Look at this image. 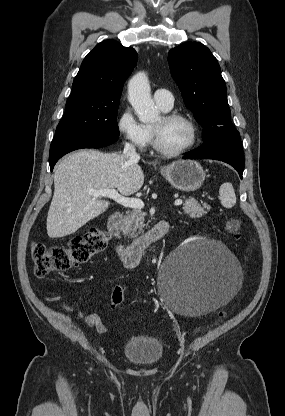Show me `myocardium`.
I'll use <instances>...</instances> for the list:
<instances>
[{
    "instance_id": "f54148a6",
    "label": "myocardium",
    "mask_w": 285,
    "mask_h": 416,
    "mask_svg": "<svg viewBox=\"0 0 285 416\" xmlns=\"http://www.w3.org/2000/svg\"><path fill=\"white\" fill-rule=\"evenodd\" d=\"M162 118L166 121L179 119V120L186 122L190 128V133H191L190 142L188 143L187 146L179 150L165 149L159 144L157 135L154 129L150 128L153 148L159 154L165 157H178V156H182L190 152L195 147L197 140H198V129L193 119L190 118L188 115H185L179 112H170V111L164 112L162 114Z\"/></svg>"
}]
</instances>
